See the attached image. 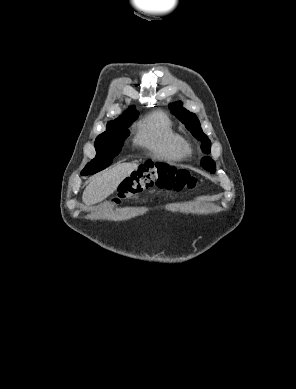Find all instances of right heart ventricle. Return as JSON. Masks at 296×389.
<instances>
[{"label":"right heart ventricle","mask_w":296,"mask_h":389,"mask_svg":"<svg viewBox=\"0 0 296 389\" xmlns=\"http://www.w3.org/2000/svg\"><path fill=\"white\" fill-rule=\"evenodd\" d=\"M135 143L153 156L169 161H181L186 155L182 136L162 112H153L140 122Z\"/></svg>","instance_id":"right-heart-ventricle-1"}]
</instances>
